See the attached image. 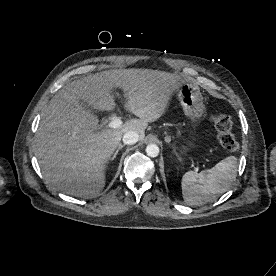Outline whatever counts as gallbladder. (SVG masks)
Segmentation results:
<instances>
[{"label": "gallbladder", "instance_id": "gallbladder-1", "mask_svg": "<svg viewBox=\"0 0 276 276\" xmlns=\"http://www.w3.org/2000/svg\"><path fill=\"white\" fill-rule=\"evenodd\" d=\"M81 102V104H82V106L84 107V108H86L87 110H89L90 112H94V109L91 107V106H89L87 103H85V102H83V101H80Z\"/></svg>", "mask_w": 276, "mask_h": 276}]
</instances>
